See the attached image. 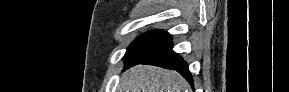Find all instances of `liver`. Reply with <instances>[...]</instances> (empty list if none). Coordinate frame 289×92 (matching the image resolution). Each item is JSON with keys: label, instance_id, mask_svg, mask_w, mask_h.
Masks as SVG:
<instances>
[{"label": "liver", "instance_id": "liver-1", "mask_svg": "<svg viewBox=\"0 0 289 92\" xmlns=\"http://www.w3.org/2000/svg\"><path fill=\"white\" fill-rule=\"evenodd\" d=\"M120 92H188L187 81L177 72L149 65H136L121 77Z\"/></svg>", "mask_w": 289, "mask_h": 92}]
</instances>
